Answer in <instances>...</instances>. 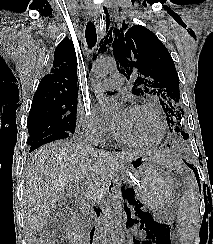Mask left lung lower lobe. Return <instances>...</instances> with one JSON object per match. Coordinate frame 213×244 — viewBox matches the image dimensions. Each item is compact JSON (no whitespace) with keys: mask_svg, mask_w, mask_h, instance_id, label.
I'll list each match as a JSON object with an SVG mask.
<instances>
[{"mask_svg":"<svg viewBox=\"0 0 213 244\" xmlns=\"http://www.w3.org/2000/svg\"><path fill=\"white\" fill-rule=\"evenodd\" d=\"M193 171H194V173H195V175H196V178H197V182H198V184H199V187H200V182H199V177H198V174H197V171L193 168V166L191 165V164H188L186 161H184ZM122 190L124 191V189L122 188ZM126 191L123 193V199H124V201H125V198H126ZM125 205H126V203H125ZM125 205H124V209H125Z\"/></svg>","mask_w":213,"mask_h":244,"instance_id":"left-lung-lower-lobe-1","label":"left lung lower lobe"}]
</instances>
